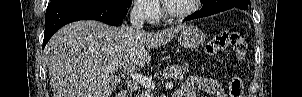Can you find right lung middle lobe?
Masks as SVG:
<instances>
[{
	"instance_id": "obj_1",
	"label": "right lung middle lobe",
	"mask_w": 302,
	"mask_h": 97,
	"mask_svg": "<svg viewBox=\"0 0 302 97\" xmlns=\"http://www.w3.org/2000/svg\"><path fill=\"white\" fill-rule=\"evenodd\" d=\"M57 1H64V0H51V2H57ZM110 1H113L119 5H123L126 7H129L132 3V0H110Z\"/></svg>"
}]
</instances>
